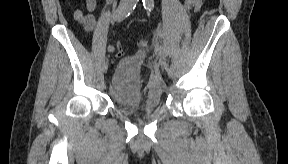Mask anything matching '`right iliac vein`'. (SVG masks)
I'll return each mask as SVG.
<instances>
[{
  "instance_id": "63e3f726",
  "label": "right iliac vein",
  "mask_w": 288,
  "mask_h": 164,
  "mask_svg": "<svg viewBox=\"0 0 288 164\" xmlns=\"http://www.w3.org/2000/svg\"><path fill=\"white\" fill-rule=\"evenodd\" d=\"M108 64H109V61H108V59L106 58V59L104 60V71H105V72H106L107 69H108Z\"/></svg>"
}]
</instances>
